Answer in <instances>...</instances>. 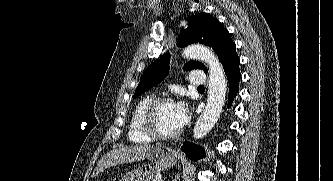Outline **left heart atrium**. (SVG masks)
<instances>
[{
    "instance_id": "39dd6f15",
    "label": "left heart atrium",
    "mask_w": 333,
    "mask_h": 181,
    "mask_svg": "<svg viewBox=\"0 0 333 181\" xmlns=\"http://www.w3.org/2000/svg\"><path fill=\"white\" fill-rule=\"evenodd\" d=\"M175 105V119L178 127H183L190 118L189 108L186 102L179 101Z\"/></svg>"
}]
</instances>
